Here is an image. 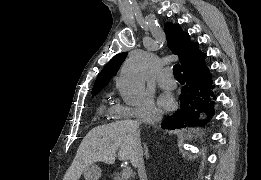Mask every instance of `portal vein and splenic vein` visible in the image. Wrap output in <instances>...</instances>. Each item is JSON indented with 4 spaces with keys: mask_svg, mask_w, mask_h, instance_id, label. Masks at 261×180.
Masks as SVG:
<instances>
[{
    "mask_svg": "<svg viewBox=\"0 0 261 180\" xmlns=\"http://www.w3.org/2000/svg\"><path fill=\"white\" fill-rule=\"evenodd\" d=\"M132 174H133V170H131V168H123L121 174V180H128V178H131Z\"/></svg>",
    "mask_w": 261,
    "mask_h": 180,
    "instance_id": "1",
    "label": "portal vein and splenic vein"
}]
</instances>
